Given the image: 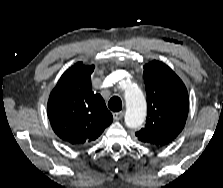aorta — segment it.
I'll use <instances>...</instances> for the list:
<instances>
[{"label":"aorta","instance_id":"aorta-1","mask_svg":"<svg viewBox=\"0 0 223 188\" xmlns=\"http://www.w3.org/2000/svg\"><path fill=\"white\" fill-rule=\"evenodd\" d=\"M126 102L125 124L129 128H139L146 118V100L142 91L128 83L124 94Z\"/></svg>","mask_w":223,"mask_h":188}]
</instances>
